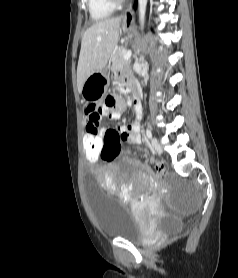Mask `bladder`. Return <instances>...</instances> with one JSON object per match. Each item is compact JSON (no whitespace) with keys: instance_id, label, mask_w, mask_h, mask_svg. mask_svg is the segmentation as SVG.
<instances>
[{"instance_id":"bladder-1","label":"bladder","mask_w":238,"mask_h":278,"mask_svg":"<svg viewBox=\"0 0 238 278\" xmlns=\"http://www.w3.org/2000/svg\"><path fill=\"white\" fill-rule=\"evenodd\" d=\"M85 180H97V175H85ZM98 181H85L86 194L100 232L111 238L141 242L147 235L143 223L130 207L98 186Z\"/></svg>"}]
</instances>
